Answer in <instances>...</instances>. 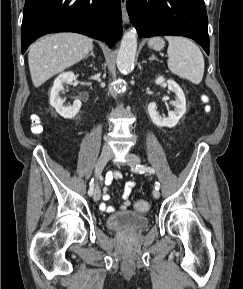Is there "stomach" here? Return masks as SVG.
<instances>
[{
  "label": "stomach",
  "mask_w": 243,
  "mask_h": 289,
  "mask_svg": "<svg viewBox=\"0 0 243 289\" xmlns=\"http://www.w3.org/2000/svg\"><path fill=\"white\" fill-rule=\"evenodd\" d=\"M148 46L156 51H160L164 47V41L160 37H153L149 40Z\"/></svg>",
  "instance_id": "stomach-1"
}]
</instances>
